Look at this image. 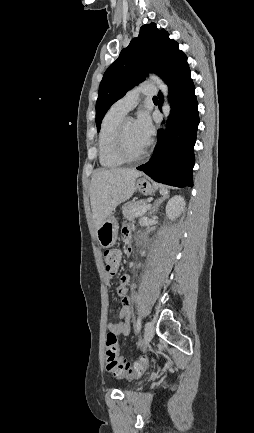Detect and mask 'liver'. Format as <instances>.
Wrapping results in <instances>:
<instances>
[{"instance_id": "liver-1", "label": "liver", "mask_w": 254, "mask_h": 433, "mask_svg": "<svg viewBox=\"0 0 254 433\" xmlns=\"http://www.w3.org/2000/svg\"><path fill=\"white\" fill-rule=\"evenodd\" d=\"M142 173L135 169L114 168L95 171L90 184V203L97 229L122 202L135 191V182Z\"/></svg>"}]
</instances>
